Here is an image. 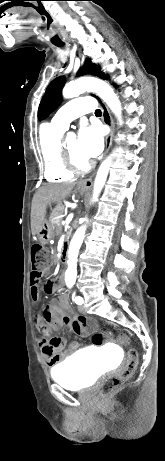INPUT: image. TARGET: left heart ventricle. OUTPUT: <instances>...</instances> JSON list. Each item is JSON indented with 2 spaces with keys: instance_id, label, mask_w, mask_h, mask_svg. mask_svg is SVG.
Wrapping results in <instances>:
<instances>
[{
  "instance_id": "1",
  "label": "left heart ventricle",
  "mask_w": 165,
  "mask_h": 461,
  "mask_svg": "<svg viewBox=\"0 0 165 461\" xmlns=\"http://www.w3.org/2000/svg\"><path fill=\"white\" fill-rule=\"evenodd\" d=\"M65 146L74 158V160L79 163L83 164L87 162V159L81 156L78 150V143L76 139H71L65 142Z\"/></svg>"
}]
</instances>
